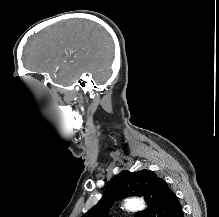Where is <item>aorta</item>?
Wrapping results in <instances>:
<instances>
[{
  "instance_id": "obj_1",
  "label": "aorta",
  "mask_w": 219,
  "mask_h": 217,
  "mask_svg": "<svg viewBox=\"0 0 219 217\" xmlns=\"http://www.w3.org/2000/svg\"><path fill=\"white\" fill-rule=\"evenodd\" d=\"M124 208L129 211H138L145 208V203L141 198H128L124 202Z\"/></svg>"
}]
</instances>
